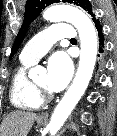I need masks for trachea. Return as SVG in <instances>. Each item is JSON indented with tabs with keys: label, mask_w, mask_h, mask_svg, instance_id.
<instances>
[{
	"label": "trachea",
	"mask_w": 117,
	"mask_h": 136,
	"mask_svg": "<svg viewBox=\"0 0 117 136\" xmlns=\"http://www.w3.org/2000/svg\"><path fill=\"white\" fill-rule=\"evenodd\" d=\"M70 41H75V39H74V38H72V39H70Z\"/></svg>",
	"instance_id": "trachea-1"
}]
</instances>
